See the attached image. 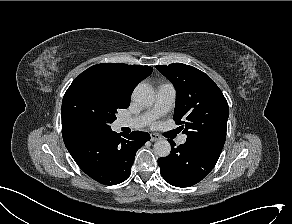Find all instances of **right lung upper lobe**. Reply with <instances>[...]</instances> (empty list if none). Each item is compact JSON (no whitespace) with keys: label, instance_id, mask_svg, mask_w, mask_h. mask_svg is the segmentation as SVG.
<instances>
[{"label":"right lung upper lobe","instance_id":"cb5924a9","mask_svg":"<svg viewBox=\"0 0 292 224\" xmlns=\"http://www.w3.org/2000/svg\"><path fill=\"white\" fill-rule=\"evenodd\" d=\"M152 71L150 66L102 63L88 68L84 73L100 74L117 99L123 105L129 106L134 88Z\"/></svg>","mask_w":292,"mask_h":224}]
</instances>
